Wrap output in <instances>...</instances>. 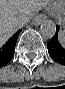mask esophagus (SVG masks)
I'll use <instances>...</instances> for the list:
<instances>
[{
  "label": "esophagus",
  "mask_w": 65,
  "mask_h": 89,
  "mask_svg": "<svg viewBox=\"0 0 65 89\" xmlns=\"http://www.w3.org/2000/svg\"><path fill=\"white\" fill-rule=\"evenodd\" d=\"M44 20H45V16L38 14L33 18L32 24L33 25H40Z\"/></svg>",
  "instance_id": "1"
}]
</instances>
